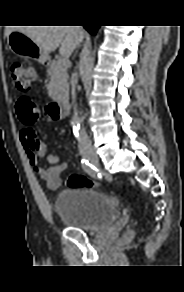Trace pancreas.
<instances>
[{"label": "pancreas", "mask_w": 184, "mask_h": 292, "mask_svg": "<svg viewBox=\"0 0 184 292\" xmlns=\"http://www.w3.org/2000/svg\"><path fill=\"white\" fill-rule=\"evenodd\" d=\"M50 82L47 86L48 94L53 99H63L69 93L67 66L59 61H52L48 67Z\"/></svg>", "instance_id": "obj_1"}]
</instances>
